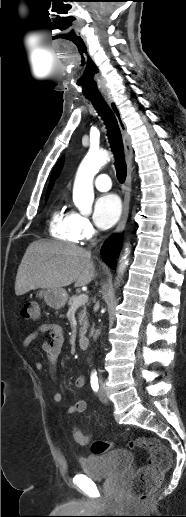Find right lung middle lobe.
<instances>
[{"label":"right lung middle lobe","mask_w":186,"mask_h":517,"mask_svg":"<svg viewBox=\"0 0 186 517\" xmlns=\"http://www.w3.org/2000/svg\"><path fill=\"white\" fill-rule=\"evenodd\" d=\"M49 193H50V191H48V192H47V196H46V199H47V197H48V194H49Z\"/></svg>","instance_id":"right-lung-middle-lobe-1"}]
</instances>
